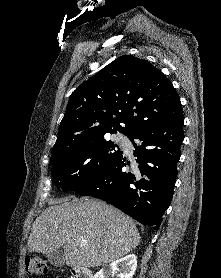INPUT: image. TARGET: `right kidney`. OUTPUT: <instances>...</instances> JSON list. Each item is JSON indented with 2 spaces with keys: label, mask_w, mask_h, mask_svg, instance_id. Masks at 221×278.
<instances>
[{
  "label": "right kidney",
  "mask_w": 221,
  "mask_h": 278,
  "mask_svg": "<svg viewBox=\"0 0 221 278\" xmlns=\"http://www.w3.org/2000/svg\"><path fill=\"white\" fill-rule=\"evenodd\" d=\"M137 268V257L129 254L98 271L94 278H109L119 272L118 278H132Z\"/></svg>",
  "instance_id": "ca27d5eb"
}]
</instances>
